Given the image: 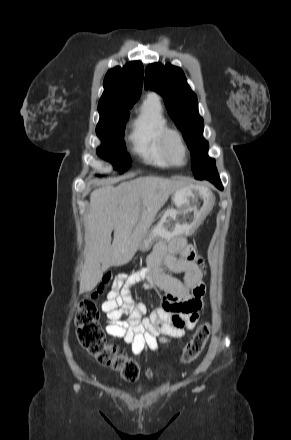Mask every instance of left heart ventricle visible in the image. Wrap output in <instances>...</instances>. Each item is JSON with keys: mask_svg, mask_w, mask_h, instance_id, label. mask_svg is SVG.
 Segmentation results:
<instances>
[{"mask_svg": "<svg viewBox=\"0 0 291 440\" xmlns=\"http://www.w3.org/2000/svg\"><path fill=\"white\" fill-rule=\"evenodd\" d=\"M173 155L177 160H181L182 158L181 151L175 144L173 145Z\"/></svg>", "mask_w": 291, "mask_h": 440, "instance_id": "left-heart-ventricle-1", "label": "left heart ventricle"}]
</instances>
